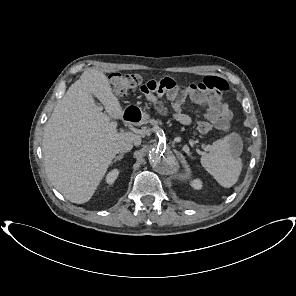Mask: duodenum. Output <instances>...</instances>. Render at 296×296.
Wrapping results in <instances>:
<instances>
[{
    "label": "duodenum",
    "mask_w": 296,
    "mask_h": 296,
    "mask_svg": "<svg viewBox=\"0 0 296 296\" xmlns=\"http://www.w3.org/2000/svg\"><path fill=\"white\" fill-rule=\"evenodd\" d=\"M125 118L130 121H135L136 115L132 112H127Z\"/></svg>",
    "instance_id": "obj_1"
}]
</instances>
